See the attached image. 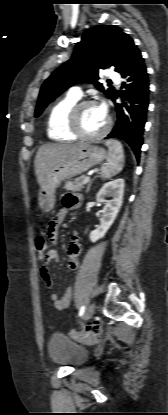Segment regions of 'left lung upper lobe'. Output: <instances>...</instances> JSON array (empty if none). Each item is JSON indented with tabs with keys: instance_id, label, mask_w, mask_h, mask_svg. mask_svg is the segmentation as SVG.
Instances as JSON below:
<instances>
[{
	"instance_id": "5c2ea615",
	"label": "left lung upper lobe",
	"mask_w": 168,
	"mask_h": 415,
	"mask_svg": "<svg viewBox=\"0 0 168 415\" xmlns=\"http://www.w3.org/2000/svg\"><path fill=\"white\" fill-rule=\"evenodd\" d=\"M138 53L140 51L133 39L117 26H96L85 31L72 57L43 83L35 117L63 91L80 82H91L112 98L116 90L113 87L104 90L102 84L97 82V70L113 66L121 74Z\"/></svg>"
}]
</instances>
